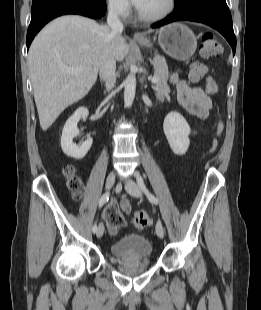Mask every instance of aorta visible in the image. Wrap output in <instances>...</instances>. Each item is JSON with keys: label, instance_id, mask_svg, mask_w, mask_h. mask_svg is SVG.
<instances>
[{"label": "aorta", "instance_id": "1", "mask_svg": "<svg viewBox=\"0 0 261 310\" xmlns=\"http://www.w3.org/2000/svg\"><path fill=\"white\" fill-rule=\"evenodd\" d=\"M124 104L126 107H130L135 98L136 91V76L131 71L124 81Z\"/></svg>", "mask_w": 261, "mask_h": 310}]
</instances>
